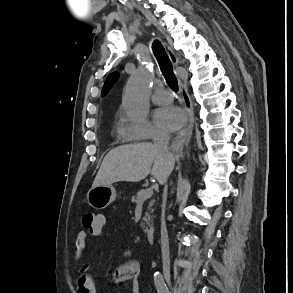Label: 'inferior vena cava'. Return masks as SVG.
I'll use <instances>...</instances> for the list:
<instances>
[{
    "mask_svg": "<svg viewBox=\"0 0 293 293\" xmlns=\"http://www.w3.org/2000/svg\"><path fill=\"white\" fill-rule=\"evenodd\" d=\"M170 136L167 133H157L154 138V146L158 149V151L167 157H171L172 154L169 152L168 143ZM161 184H164V196L165 200L167 197V179H165ZM161 250H162V262H163V270L165 272H169L170 270V258H169V240L168 233L166 229L165 222V213L163 210L162 222H161Z\"/></svg>",
    "mask_w": 293,
    "mask_h": 293,
    "instance_id": "obj_1",
    "label": "inferior vena cava"
}]
</instances>
